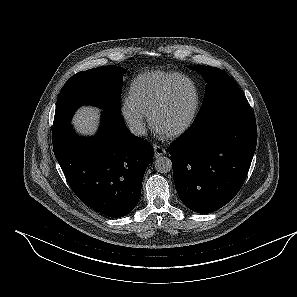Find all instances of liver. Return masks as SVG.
<instances>
[{
    "mask_svg": "<svg viewBox=\"0 0 297 297\" xmlns=\"http://www.w3.org/2000/svg\"><path fill=\"white\" fill-rule=\"evenodd\" d=\"M100 110L94 107H83L73 118L76 131L82 135L93 134L98 126Z\"/></svg>",
    "mask_w": 297,
    "mask_h": 297,
    "instance_id": "1",
    "label": "liver"
}]
</instances>
